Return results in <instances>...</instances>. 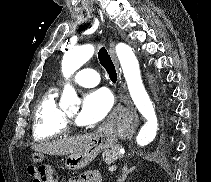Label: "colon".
Wrapping results in <instances>:
<instances>
[{
	"mask_svg": "<svg viewBox=\"0 0 211 182\" xmlns=\"http://www.w3.org/2000/svg\"><path fill=\"white\" fill-rule=\"evenodd\" d=\"M29 171L32 177L38 182H56L53 175V170L49 166L31 167Z\"/></svg>",
	"mask_w": 211,
	"mask_h": 182,
	"instance_id": "obj_1",
	"label": "colon"
}]
</instances>
